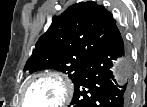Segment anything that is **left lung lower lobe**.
<instances>
[{"label":"left lung lower lobe","mask_w":147,"mask_h":107,"mask_svg":"<svg viewBox=\"0 0 147 107\" xmlns=\"http://www.w3.org/2000/svg\"><path fill=\"white\" fill-rule=\"evenodd\" d=\"M117 58L126 59L127 51L115 25L73 82L74 95L69 107H127L130 75L114 78L110 69Z\"/></svg>","instance_id":"0a47b994"}]
</instances>
